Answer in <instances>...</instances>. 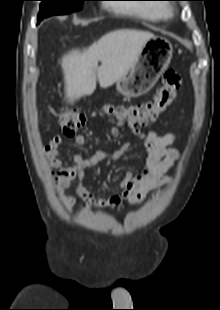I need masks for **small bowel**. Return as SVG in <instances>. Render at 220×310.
Masks as SVG:
<instances>
[{
	"instance_id": "c3829d8e",
	"label": "small bowel",
	"mask_w": 220,
	"mask_h": 310,
	"mask_svg": "<svg viewBox=\"0 0 220 310\" xmlns=\"http://www.w3.org/2000/svg\"><path fill=\"white\" fill-rule=\"evenodd\" d=\"M134 133L143 140L147 150L144 168L137 175L130 171L126 172L123 179L114 185V188L121 190V193L111 194L107 198L96 197L83 187L82 180L85 171L97 167L102 161L119 159L128 149V144H124L112 153L98 151L90 156L76 154L73 157V163L69 165L60 156L62 136L56 135L49 141L44 148L45 160L50 168H58V171L53 175L57 183L59 199L68 212L72 211L76 199L74 196L66 195L64 191L71 186L74 180H78L76 194L91 202L95 207H121L124 200L131 206H138L150 191L171 181V176L166 173L174 168L179 158L178 150L172 147L176 135L174 133L158 135L155 131L144 134L140 130H134ZM110 134L113 138H117L120 131L117 127H112ZM86 141L87 137L83 133L75 136V142L78 145H84Z\"/></svg>"
}]
</instances>
